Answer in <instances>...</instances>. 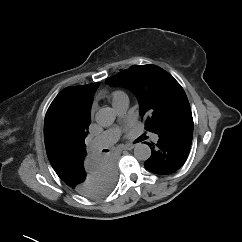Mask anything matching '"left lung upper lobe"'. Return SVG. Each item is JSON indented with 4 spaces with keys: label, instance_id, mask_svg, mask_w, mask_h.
I'll use <instances>...</instances> for the list:
<instances>
[{
    "label": "left lung upper lobe",
    "instance_id": "5c2ea615",
    "mask_svg": "<svg viewBox=\"0 0 242 242\" xmlns=\"http://www.w3.org/2000/svg\"><path fill=\"white\" fill-rule=\"evenodd\" d=\"M113 86H125L138 97L140 114L146 118L145 129L157 132L172 121L191 114L181 85L165 70L155 65H134L106 79Z\"/></svg>",
    "mask_w": 242,
    "mask_h": 242
}]
</instances>
